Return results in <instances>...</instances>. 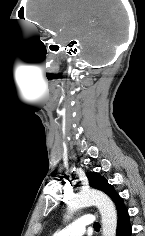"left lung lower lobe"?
Instances as JSON below:
<instances>
[{
  "label": "left lung lower lobe",
  "mask_w": 145,
  "mask_h": 236,
  "mask_svg": "<svg viewBox=\"0 0 145 236\" xmlns=\"http://www.w3.org/2000/svg\"><path fill=\"white\" fill-rule=\"evenodd\" d=\"M117 232L116 236H131L132 228L126 208L117 212Z\"/></svg>",
  "instance_id": "0a47b994"
}]
</instances>
